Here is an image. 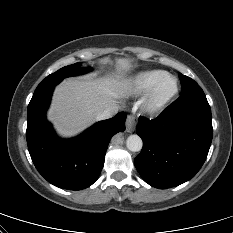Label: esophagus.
I'll use <instances>...</instances> for the list:
<instances>
[{"label": "esophagus", "mask_w": 233, "mask_h": 233, "mask_svg": "<svg viewBox=\"0 0 233 233\" xmlns=\"http://www.w3.org/2000/svg\"><path fill=\"white\" fill-rule=\"evenodd\" d=\"M137 125V118L133 115H128L126 119V130L127 132H133Z\"/></svg>", "instance_id": "1"}]
</instances>
